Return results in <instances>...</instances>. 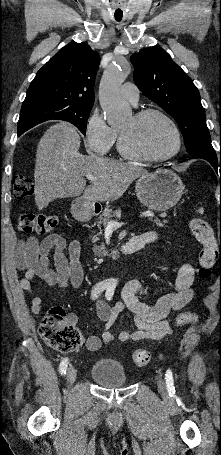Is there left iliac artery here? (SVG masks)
I'll return each instance as SVG.
<instances>
[{
  "label": "left iliac artery",
  "mask_w": 221,
  "mask_h": 455,
  "mask_svg": "<svg viewBox=\"0 0 221 455\" xmlns=\"http://www.w3.org/2000/svg\"><path fill=\"white\" fill-rule=\"evenodd\" d=\"M113 294H114V287L113 286H109L107 288L106 295H105L107 300H111ZM165 379H166L167 389L168 390H174L175 389L174 381H173V376H172V372H171L170 369H168L166 371Z\"/></svg>",
  "instance_id": "left-iliac-artery-1"
}]
</instances>
